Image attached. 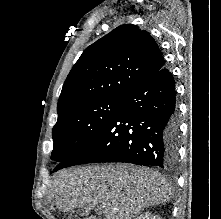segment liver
I'll return each instance as SVG.
<instances>
[{"instance_id":"obj_1","label":"liver","mask_w":221,"mask_h":219,"mask_svg":"<svg viewBox=\"0 0 221 219\" xmlns=\"http://www.w3.org/2000/svg\"><path fill=\"white\" fill-rule=\"evenodd\" d=\"M50 195L58 211L101 208L105 219H132L170 200L169 186L158 172L127 164L62 170L54 176Z\"/></svg>"}]
</instances>
